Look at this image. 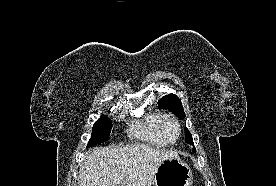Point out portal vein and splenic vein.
<instances>
[{
  "label": "portal vein and splenic vein",
  "mask_w": 276,
  "mask_h": 186,
  "mask_svg": "<svg viewBox=\"0 0 276 186\" xmlns=\"http://www.w3.org/2000/svg\"><path fill=\"white\" fill-rule=\"evenodd\" d=\"M115 180H116V181H120V179H119V178H116Z\"/></svg>",
  "instance_id": "18ae733b"
}]
</instances>
